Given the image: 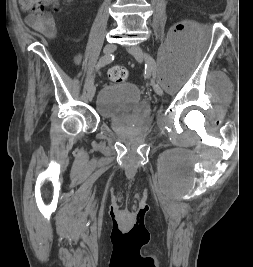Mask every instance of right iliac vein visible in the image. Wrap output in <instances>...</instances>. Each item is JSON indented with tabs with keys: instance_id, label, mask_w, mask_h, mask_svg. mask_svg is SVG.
Segmentation results:
<instances>
[{
	"instance_id": "right-iliac-vein-1",
	"label": "right iliac vein",
	"mask_w": 253,
	"mask_h": 267,
	"mask_svg": "<svg viewBox=\"0 0 253 267\" xmlns=\"http://www.w3.org/2000/svg\"><path fill=\"white\" fill-rule=\"evenodd\" d=\"M115 50H116V45L114 43H108L104 46V53L106 55L113 53ZM95 91H96L95 86L91 84L87 90V97L89 100H91L94 97Z\"/></svg>"
}]
</instances>
